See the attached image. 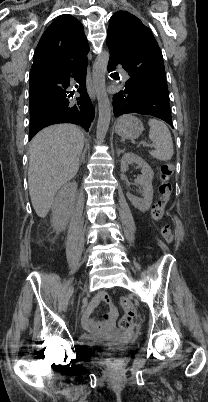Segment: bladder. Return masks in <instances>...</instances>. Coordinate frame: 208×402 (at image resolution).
<instances>
[{
  "instance_id": "31cf9c89",
  "label": "bladder",
  "mask_w": 208,
  "mask_h": 402,
  "mask_svg": "<svg viewBox=\"0 0 208 402\" xmlns=\"http://www.w3.org/2000/svg\"><path fill=\"white\" fill-rule=\"evenodd\" d=\"M110 341H112L110 337L99 338L95 335H85L82 344L85 347L91 346L96 351L100 352Z\"/></svg>"
}]
</instances>
